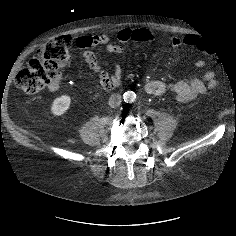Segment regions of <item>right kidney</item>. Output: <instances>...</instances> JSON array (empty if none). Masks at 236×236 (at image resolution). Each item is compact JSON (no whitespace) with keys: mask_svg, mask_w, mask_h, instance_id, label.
<instances>
[{"mask_svg":"<svg viewBox=\"0 0 236 236\" xmlns=\"http://www.w3.org/2000/svg\"><path fill=\"white\" fill-rule=\"evenodd\" d=\"M71 98L68 95H62L60 97H57L54 99L52 106H51V112L55 116H60L64 114L70 107Z\"/></svg>","mask_w":236,"mask_h":236,"instance_id":"right-kidney-1","label":"right kidney"}]
</instances>
